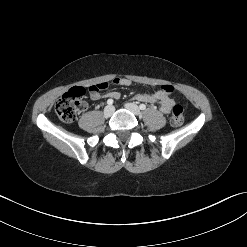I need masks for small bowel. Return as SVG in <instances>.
I'll use <instances>...</instances> for the list:
<instances>
[{"label":"small bowel","instance_id":"obj_1","mask_svg":"<svg viewBox=\"0 0 247 247\" xmlns=\"http://www.w3.org/2000/svg\"><path fill=\"white\" fill-rule=\"evenodd\" d=\"M112 83L118 86H130L132 84L131 80L123 77L114 78L112 80ZM172 91V86L162 85L156 88V90L153 92H140L134 97V99L137 102L158 103L160 111L163 114H168L174 106V100L170 96ZM90 96L93 100H99L103 95L100 91L90 89ZM105 96L111 98H118L119 93L116 91H109L105 94Z\"/></svg>","mask_w":247,"mask_h":247}]
</instances>
